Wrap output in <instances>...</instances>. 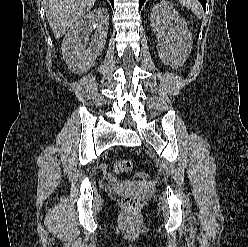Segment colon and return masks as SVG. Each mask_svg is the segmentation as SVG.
Returning <instances> with one entry per match:
<instances>
[{
	"instance_id": "obj_1",
	"label": "colon",
	"mask_w": 248,
	"mask_h": 247,
	"mask_svg": "<svg viewBox=\"0 0 248 247\" xmlns=\"http://www.w3.org/2000/svg\"><path fill=\"white\" fill-rule=\"evenodd\" d=\"M132 166L133 164L130 160H125V159L117 160L113 164V170L116 173H126L132 169ZM140 175L143 176V174ZM121 203L125 209L134 210L138 207L139 200L135 195L129 194V195H125L122 198Z\"/></svg>"
}]
</instances>
